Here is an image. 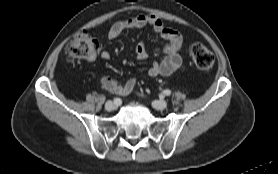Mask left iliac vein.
Returning a JSON list of instances; mask_svg holds the SVG:
<instances>
[{
  "label": "left iliac vein",
  "mask_w": 278,
  "mask_h": 174,
  "mask_svg": "<svg viewBox=\"0 0 278 174\" xmlns=\"http://www.w3.org/2000/svg\"><path fill=\"white\" fill-rule=\"evenodd\" d=\"M152 106L157 110H164L167 107L165 100H156L152 102Z\"/></svg>",
  "instance_id": "left-iliac-vein-1"
}]
</instances>
